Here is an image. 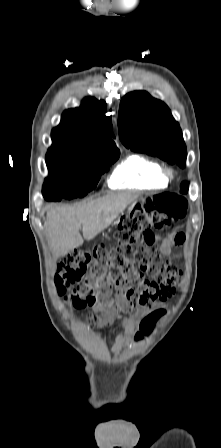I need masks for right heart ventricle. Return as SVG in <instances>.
<instances>
[{"mask_svg":"<svg viewBox=\"0 0 221 448\" xmlns=\"http://www.w3.org/2000/svg\"><path fill=\"white\" fill-rule=\"evenodd\" d=\"M162 166L142 154H131L111 174L108 185L114 189H164Z\"/></svg>","mask_w":221,"mask_h":448,"instance_id":"obj_1","label":"right heart ventricle"}]
</instances>
